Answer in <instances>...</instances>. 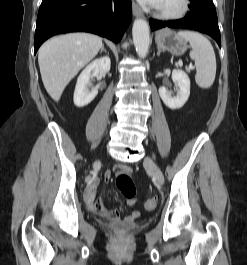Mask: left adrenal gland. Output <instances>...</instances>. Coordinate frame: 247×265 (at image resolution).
Masks as SVG:
<instances>
[{
	"mask_svg": "<svg viewBox=\"0 0 247 265\" xmlns=\"http://www.w3.org/2000/svg\"><path fill=\"white\" fill-rule=\"evenodd\" d=\"M160 53H161V49L158 48L157 56H160Z\"/></svg>",
	"mask_w": 247,
	"mask_h": 265,
	"instance_id": "left-adrenal-gland-1",
	"label": "left adrenal gland"
}]
</instances>
